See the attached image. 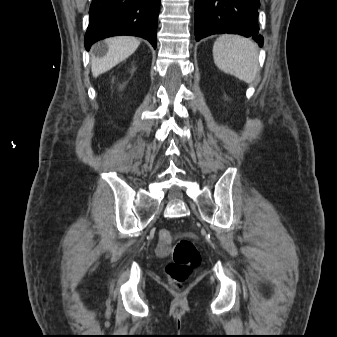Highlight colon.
Here are the masks:
<instances>
[{"mask_svg":"<svg viewBox=\"0 0 337 337\" xmlns=\"http://www.w3.org/2000/svg\"><path fill=\"white\" fill-rule=\"evenodd\" d=\"M172 234L167 229L158 232L157 251L166 253L170 250ZM173 261L167 265L166 272L176 285L186 281L192 269L201 262V256L195 244L189 239L178 241L172 248Z\"/></svg>","mask_w":337,"mask_h":337,"instance_id":"colon-1","label":"colon"}]
</instances>
